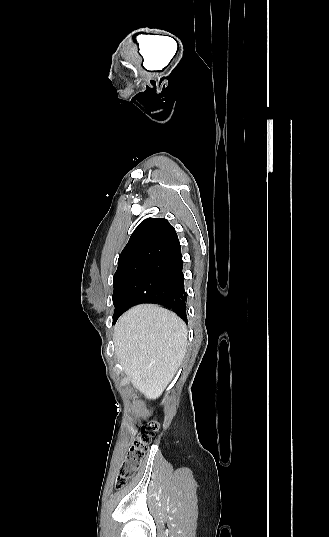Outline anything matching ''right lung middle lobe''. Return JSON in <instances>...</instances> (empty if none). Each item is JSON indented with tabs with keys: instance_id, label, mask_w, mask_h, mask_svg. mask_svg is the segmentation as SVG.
<instances>
[{
	"instance_id": "1",
	"label": "right lung middle lobe",
	"mask_w": 329,
	"mask_h": 537,
	"mask_svg": "<svg viewBox=\"0 0 329 537\" xmlns=\"http://www.w3.org/2000/svg\"><path fill=\"white\" fill-rule=\"evenodd\" d=\"M147 261H137L126 264L117 269L113 277L114 292L112 296L115 312L120 310L122 298L136 277L149 265Z\"/></svg>"
}]
</instances>
